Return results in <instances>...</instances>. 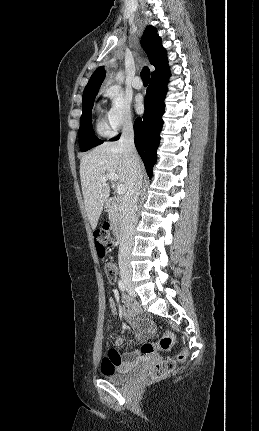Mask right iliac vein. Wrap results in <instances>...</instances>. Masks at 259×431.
Returning a JSON list of instances; mask_svg holds the SVG:
<instances>
[{"mask_svg":"<svg viewBox=\"0 0 259 431\" xmlns=\"http://www.w3.org/2000/svg\"><path fill=\"white\" fill-rule=\"evenodd\" d=\"M121 277L122 280L124 281L127 290L131 293L134 294V290H133V285L131 282V273L129 271L123 270L121 273Z\"/></svg>","mask_w":259,"mask_h":431,"instance_id":"63e3f726","label":"right iliac vein"}]
</instances>
